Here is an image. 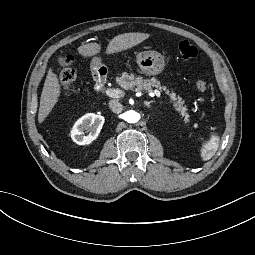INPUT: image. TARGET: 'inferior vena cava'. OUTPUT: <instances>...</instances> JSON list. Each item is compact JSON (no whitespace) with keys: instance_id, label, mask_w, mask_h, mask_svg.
<instances>
[{"instance_id":"1","label":"inferior vena cava","mask_w":255,"mask_h":255,"mask_svg":"<svg viewBox=\"0 0 255 255\" xmlns=\"http://www.w3.org/2000/svg\"><path fill=\"white\" fill-rule=\"evenodd\" d=\"M109 105L115 113H121L123 110L122 105L116 99L111 100Z\"/></svg>"}]
</instances>
